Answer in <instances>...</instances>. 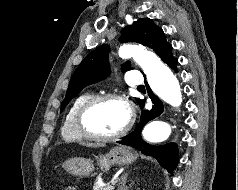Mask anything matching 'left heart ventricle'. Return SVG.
<instances>
[{"label": "left heart ventricle", "mask_w": 238, "mask_h": 190, "mask_svg": "<svg viewBox=\"0 0 238 190\" xmlns=\"http://www.w3.org/2000/svg\"><path fill=\"white\" fill-rule=\"evenodd\" d=\"M128 110L117 100H106L96 105L87 115L88 128L99 134H113L124 127Z\"/></svg>", "instance_id": "b2bd125f"}]
</instances>
